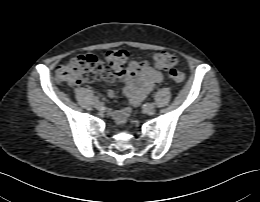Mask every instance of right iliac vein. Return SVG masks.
Wrapping results in <instances>:
<instances>
[{
	"label": "right iliac vein",
	"instance_id": "right-iliac-vein-1",
	"mask_svg": "<svg viewBox=\"0 0 260 202\" xmlns=\"http://www.w3.org/2000/svg\"><path fill=\"white\" fill-rule=\"evenodd\" d=\"M94 106H95L96 109H100L102 107V103L100 101H96L94 103Z\"/></svg>",
	"mask_w": 260,
	"mask_h": 202
}]
</instances>
